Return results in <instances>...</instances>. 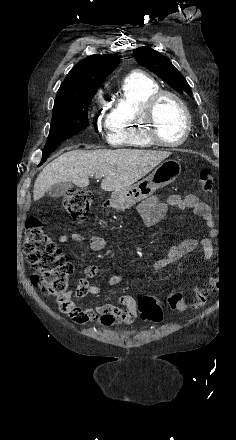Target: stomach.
Segmentation results:
<instances>
[{"instance_id": "1", "label": "stomach", "mask_w": 236, "mask_h": 440, "mask_svg": "<svg viewBox=\"0 0 236 440\" xmlns=\"http://www.w3.org/2000/svg\"><path fill=\"white\" fill-rule=\"evenodd\" d=\"M180 173L181 165L178 161L173 159L165 160L149 176L137 184L127 189L113 192L110 198L111 206L118 211H125L153 195L157 189L163 188L175 181Z\"/></svg>"}]
</instances>
